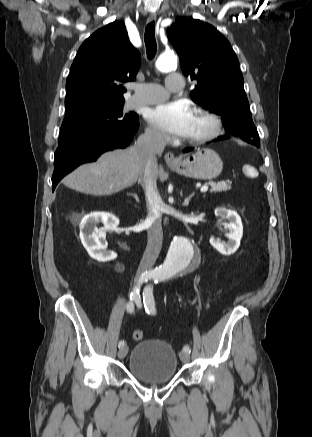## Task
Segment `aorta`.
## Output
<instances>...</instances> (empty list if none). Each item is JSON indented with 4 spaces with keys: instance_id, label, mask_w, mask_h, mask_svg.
I'll return each mask as SVG.
<instances>
[{
    "instance_id": "762f6f07",
    "label": "aorta",
    "mask_w": 312,
    "mask_h": 437,
    "mask_svg": "<svg viewBox=\"0 0 312 437\" xmlns=\"http://www.w3.org/2000/svg\"><path fill=\"white\" fill-rule=\"evenodd\" d=\"M156 67L161 72H169L177 67V57L173 53H164L157 59ZM197 257L198 251L190 240L174 237L159 271L164 276L176 275L187 269Z\"/></svg>"
}]
</instances>
